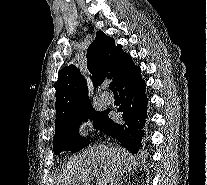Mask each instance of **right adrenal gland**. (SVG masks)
<instances>
[{"instance_id": "obj_1", "label": "right adrenal gland", "mask_w": 207, "mask_h": 185, "mask_svg": "<svg viewBox=\"0 0 207 185\" xmlns=\"http://www.w3.org/2000/svg\"><path fill=\"white\" fill-rule=\"evenodd\" d=\"M119 185H129L127 179H124V181H120Z\"/></svg>"}]
</instances>
